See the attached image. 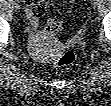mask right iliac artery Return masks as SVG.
Masks as SVG:
<instances>
[{
	"label": "right iliac artery",
	"mask_w": 111,
	"mask_h": 106,
	"mask_svg": "<svg viewBox=\"0 0 111 106\" xmlns=\"http://www.w3.org/2000/svg\"><path fill=\"white\" fill-rule=\"evenodd\" d=\"M9 2H10L11 4H13L15 1H13V0H9Z\"/></svg>",
	"instance_id": "right-iliac-artery-1"
}]
</instances>
